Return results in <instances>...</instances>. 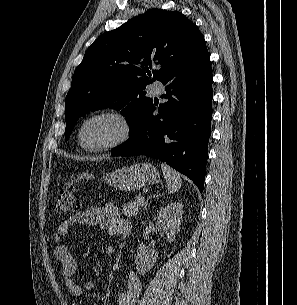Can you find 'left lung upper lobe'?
Listing matches in <instances>:
<instances>
[{
  "mask_svg": "<svg viewBox=\"0 0 297 305\" xmlns=\"http://www.w3.org/2000/svg\"><path fill=\"white\" fill-rule=\"evenodd\" d=\"M153 65L158 69L151 72ZM208 66L204 37L192 21L177 11L148 10L101 35L85 52L66 96V140L91 110H121L134 124L152 102L145 97L148 84Z\"/></svg>",
  "mask_w": 297,
  "mask_h": 305,
  "instance_id": "obj_1",
  "label": "left lung upper lobe"
}]
</instances>
